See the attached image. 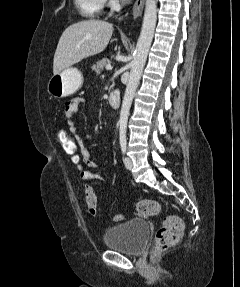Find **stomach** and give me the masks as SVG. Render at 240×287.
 Returning <instances> with one entry per match:
<instances>
[{
  "instance_id": "1",
  "label": "stomach",
  "mask_w": 240,
  "mask_h": 287,
  "mask_svg": "<svg viewBox=\"0 0 240 287\" xmlns=\"http://www.w3.org/2000/svg\"><path fill=\"white\" fill-rule=\"evenodd\" d=\"M82 84L83 75L81 71L74 67H68L50 78L47 91L54 98L60 99L77 92Z\"/></svg>"
}]
</instances>
